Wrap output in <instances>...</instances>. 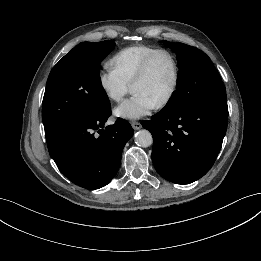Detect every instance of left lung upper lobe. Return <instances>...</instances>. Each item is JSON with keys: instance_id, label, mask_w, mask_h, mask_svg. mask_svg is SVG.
Masks as SVG:
<instances>
[{"instance_id": "obj_1", "label": "left lung upper lobe", "mask_w": 261, "mask_h": 261, "mask_svg": "<svg viewBox=\"0 0 261 261\" xmlns=\"http://www.w3.org/2000/svg\"><path fill=\"white\" fill-rule=\"evenodd\" d=\"M163 42L178 55L180 66L178 89L165 109L184 112L198 104L226 98L219 73L205 53L183 43Z\"/></svg>"}]
</instances>
